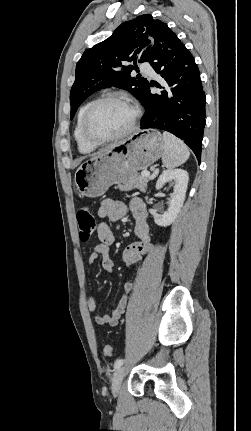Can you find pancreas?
I'll list each match as a JSON object with an SVG mask.
<instances>
[{
	"label": "pancreas",
	"instance_id": "cf45deb5",
	"mask_svg": "<svg viewBox=\"0 0 251 431\" xmlns=\"http://www.w3.org/2000/svg\"><path fill=\"white\" fill-rule=\"evenodd\" d=\"M149 179L147 177L142 176V174H134L128 180L123 182V184H118L116 188L120 190L129 191L134 188L139 189L141 192H145L147 189V183Z\"/></svg>",
	"mask_w": 251,
	"mask_h": 431
}]
</instances>
